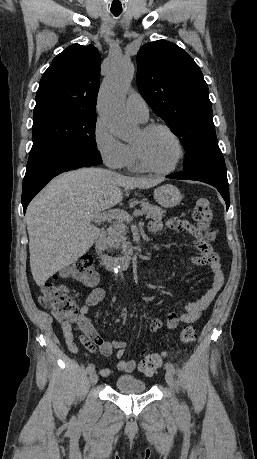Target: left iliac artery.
<instances>
[{
    "label": "left iliac artery",
    "instance_id": "obj_1",
    "mask_svg": "<svg viewBox=\"0 0 257 459\" xmlns=\"http://www.w3.org/2000/svg\"><path fill=\"white\" fill-rule=\"evenodd\" d=\"M165 368H166V370H169L173 374H175V372H176L174 366L170 362H167L165 364ZM182 407H183L184 412L188 413L189 409H188V406L185 403H183Z\"/></svg>",
    "mask_w": 257,
    "mask_h": 459
}]
</instances>
